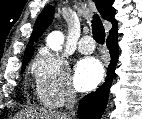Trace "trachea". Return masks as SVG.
Returning <instances> with one entry per match:
<instances>
[{
    "mask_svg": "<svg viewBox=\"0 0 142 119\" xmlns=\"http://www.w3.org/2000/svg\"><path fill=\"white\" fill-rule=\"evenodd\" d=\"M92 33L95 41L99 44H103L105 41V29L97 14L92 19Z\"/></svg>",
    "mask_w": 142,
    "mask_h": 119,
    "instance_id": "trachea-1",
    "label": "trachea"
}]
</instances>
